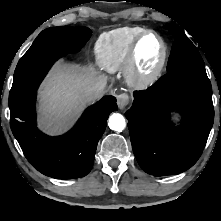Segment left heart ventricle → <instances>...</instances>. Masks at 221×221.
Segmentation results:
<instances>
[{
    "label": "left heart ventricle",
    "instance_id": "b2bd125f",
    "mask_svg": "<svg viewBox=\"0 0 221 221\" xmlns=\"http://www.w3.org/2000/svg\"><path fill=\"white\" fill-rule=\"evenodd\" d=\"M161 43L154 35L146 36L138 50V64L143 73L150 72L158 63L161 56Z\"/></svg>",
    "mask_w": 221,
    "mask_h": 221
}]
</instances>
